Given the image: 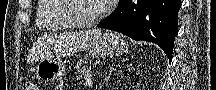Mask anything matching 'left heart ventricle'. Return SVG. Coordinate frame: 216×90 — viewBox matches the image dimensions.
Returning <instances> with one entry per match:
<instances>
[{
  "label": "left heart ventricle",
  "mask_w": 216,
  "mask_h": 90,
  "mask_svg": "<svg viewBox=\"0 0 216 90\" xmlns=\"http://www.w3.org/2000/svg\"><path fill=\"white\" fill-rule=\"evenodd\" d=\"M74 14L82 19H90L98 14L101 1H73Z\"/></svg>",
  "instance_id": "1"
}]
</instances>
